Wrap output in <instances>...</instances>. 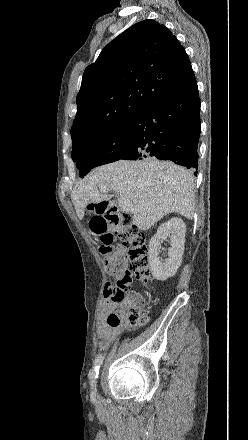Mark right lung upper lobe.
Returning a JSON list of instances; mask_svg holds the SVG:
<instances>
[{
  "mask_svg": "<svg viewBox=\"0 0 248 440\" xmlns=\"http://www.w3.org/2000/svg\"><path fill=\"white\" fill-rule=\"evenodd\" d=\"M195 84L177 38L153 20L136 23L85 69L71 129L73 147L129 122L154 100Z\"/></svg>",
  "mask_w": 248,
  "mask_h": 440,
  "instance_id": "right-lung-upper-lobe-1",
  "label": "right lung upper lobe"
}]
</instances>
